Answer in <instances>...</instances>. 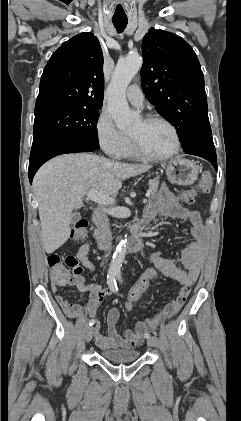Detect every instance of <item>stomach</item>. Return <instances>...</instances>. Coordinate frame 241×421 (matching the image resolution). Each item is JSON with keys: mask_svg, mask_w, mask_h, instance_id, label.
Masks as SVG:
<instances>
[{"mask_svg": "<svg viewBox=\"0 0 241 421\" xmlns=\"http://www.w3.org/2000/svg\"><path fill=\"white\" fill-rule=\"evenodd\" d=\"M168 179L178 185L193 184L197 178L199 169L196 164L188 159L177 158L164 165Z\"/></svg>", "mask_w": 241, "mask_h": 421, "instance_id": "1", "label": "stomach"}]
</instances>
